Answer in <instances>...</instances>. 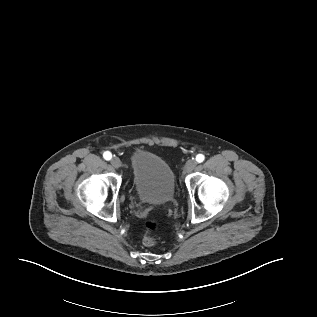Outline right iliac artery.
Returning <instances> with one entry per match:
<instances>
[{
    "instance_id": "1",
    "label": "right iliac artery",
    "mask_w": 317,
    "mask_h": 317,
    "mask_svg": "<svg viewBox=\"0 0 317 317\" xmlns=\"http://www.w3.org/2000/svg\"><path fill=\"white\" fill-rule=\"evenodd\" d=\"M103 157L105 160H110L112 158V154L109 151L104 152Z\"/></svg>"
}]
</instances>
